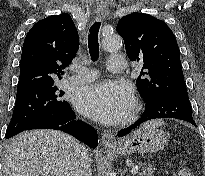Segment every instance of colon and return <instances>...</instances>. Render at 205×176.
Wrapping results in <instances>:
<instances>
[{
  "label": "colon",
  "mask_w": 205,
  "mask_h": 176,
  "mask_svg": "<svg viewBox=\"0 0 205 176\" xmlns=\"http://www.w3.org/2000/svg\"><path fill=\"white\" fill-rule=\"evenodd\" d=\"M177 176H192L191 172L186 169L185 167H181L178 170V175Z\"/></svg>",
  "instance_id": "obj_1"
}]
</instances>
